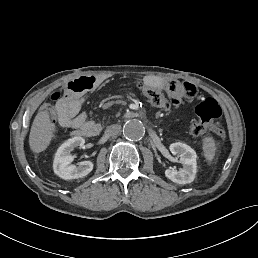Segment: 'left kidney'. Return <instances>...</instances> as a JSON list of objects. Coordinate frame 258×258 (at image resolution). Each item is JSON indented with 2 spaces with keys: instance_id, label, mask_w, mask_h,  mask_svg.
<instances>
[{
  "instance_id": "obj_1",
  "label": "left kidney",
  "mask_w": 258,
  "mask_h": 258,
  "mask_svg": "<svg viewBox=\"0 0 258 258\" xmlns=\"http://www.w3.org/2000/svg\"><path fill=\"white\" fill-rule=\"evenodd\" d=\"M169 150L173 155L182 156V167L178 170L173 168L166 170V176L173 182L179 184H188L193 182L197 174V154L195 150L181 142L170 144Z\"/></svg>"
}]
</instances>
